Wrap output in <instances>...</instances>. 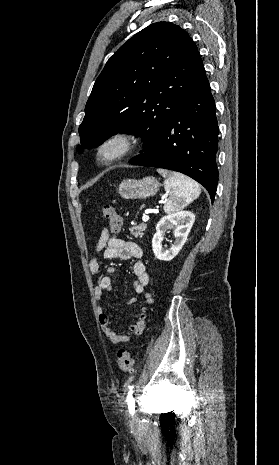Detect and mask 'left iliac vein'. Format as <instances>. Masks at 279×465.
I'll return each instance as SVG.
<instances>
[{
    "label": "left iliac vein",
    "instance_id": "left-iliac-vein-1",
    "mask_svg": "<svg viewBox=\"0 0 279 465\" xmlns=\"http://www.w3.org/2000/svg\"><path fill=\"white\" fill-rule=\"evenodd\" d=\"M136 422H137V417L135 416V417H133V418L131 419V424H134V423H136Z\"/></svg>",
    "mask_w": 279,
    "mask_h": 465
}]
</instances>
